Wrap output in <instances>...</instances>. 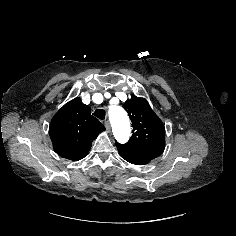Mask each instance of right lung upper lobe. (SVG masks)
<instances>
[{"label":"right lung upper lobe","instance_id":"cb5924a9","mask_svg":"<svg viewBox=\"0 0 236 236\" xmlns=\"http://www.w3.org/2000/svg\"><path fill=\"white\" fill-rule=\"evenodd\" d=\"M80 98L66 103L52 118L49 135L54 150L63 158L77 161L90 150L92 141L105 127Z\"/></svg>","mask_w":236,"mask_h":236}]
</instances>
